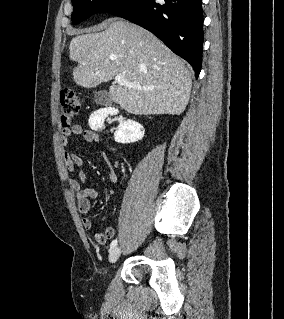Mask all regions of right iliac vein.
<instances>
[{
    "label": "right iliac vein",
    "instance_id": "obj_1",
    "mask_svg": "<svg viewBox=\"0 0 284 319\" xmlns=\"http://www.w3.org/2000/svg\"><path fill=\"white\" fill-rule=\"evenodd\" d=\"M120 254H121V250L119 247L113 248L109 253V262L115 263L119 259Z\"/></svg>",
    "mask_w": 284,
    "mask_h": 319
}]
</instances>
